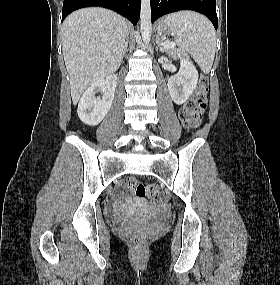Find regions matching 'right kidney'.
I'll use <instances>...</instances> for the list:
<instances>
[{
    "mask_svg": "<svg viewBox=\"0 0 280 285\" xmlns=\"http://www.w3.org/2000/svg\"><path fill=\"white\" fill-rule=\"evenodd\" d=\"M117 85V76L111 74L105 79L93 83L82 95L77 113L80 120L89 125H98L111 108ZM99 91H103L102 99L96 97Z\"/></svg>",
    "mask_w": 280,
    "mask_h": 285,
    "instance_id": "ca27d5eb",
    "label": "right kidney"
}]
</instances>
